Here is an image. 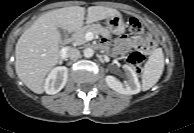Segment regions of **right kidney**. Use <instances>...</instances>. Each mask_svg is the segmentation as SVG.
Wrapping results in <instances>:
<instances>
[{
    "mask_svg": "<svg viewBox=\"0 0 194 133\" xmlns=\"http://www.w3.org/2000/svg\"><path fill=\"white\" fill-rule=\"evenodd\" d=\"M68 78V69L65 66L54 68L45 80V91L53 95L62 90Z\"/></svg>",
    "mask_w": 194,
    "mask_h": 133,
    "instance_id": "obj_1",
    "label": "right kidney"
}]
</instances>
